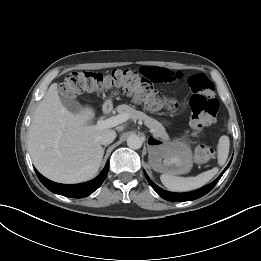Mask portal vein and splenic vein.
Masks as SVG:
<instances>
[{
    "label": "portal vein and splenic vein",
    "instance_id": "portal-vein-and-splenic-vein-1",
    "mask_svg": "<svg viewBox=\"0 0 261 261\" xmlns=\"http://www.w3.org/2000/svg\"><path fill=\"white\" fill-rule=\"evenodd\" d=\"M128 119H129V115L127 113H122L116 116H112L106 120L100 119L97 121V124L94 127L96 129L112 128L126 122Z\"/></svg>",
    "mask_w": 261,
    "mask_h": 261
}]
</instances>
